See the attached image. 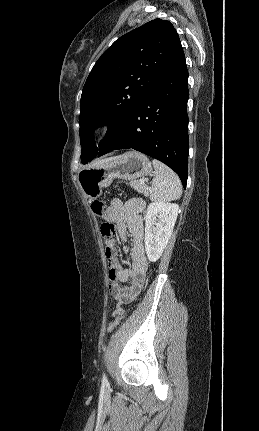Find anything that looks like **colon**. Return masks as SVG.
I'll return each mask as SVG.
<instances>
[{"instance_id": "5ec220e1", "label": "colon", "mask_w": 259, "mask_h": 431, "mask_svg": "<svg viewBox=\"0 0 259 431\" xmlns=\"http://www.w3.org/2000/svg\"><path fill=\"white\" fill-rule=\"evenodd\" d=\"M91 209H92L93 213L95 215H97V217L100 220H103L106 217V214L104 213L105 212L104 202L99 201V200L93 201L91 204ZM100 232H101V236L103 237V239L105 241H107V240L111 239L112 236L114 235L115 226L111 222H104V223H102V225L100 227ZM123 317H124L123 313L116 315L115 318L108 325V332L114 331L120 325Z\"/></svg>"}]
</instances>
